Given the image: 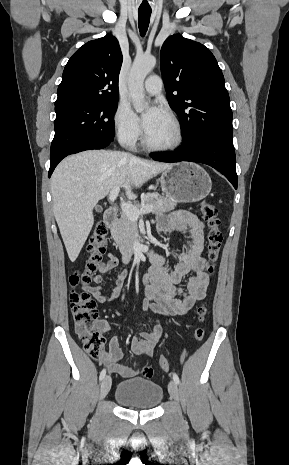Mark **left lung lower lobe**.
Wrapping results in <instances>:
<instances>
[{"mask_svg":"<svg viewBox=\"0 0 289 465\" xmlns=\"http://www.w3.org/2000/svg\"><path fill=\"white\" fill-rule=\"evenodd\" d=\"M156 161H190L207 164L221 172L237 189L235 152L232 142L212 136H200L173 152H153Z\"/></svg>","mask_w":289,"mask_h":465,"instance_id":"obj_1","label":"left lung lower lobe"}]
</instances>
